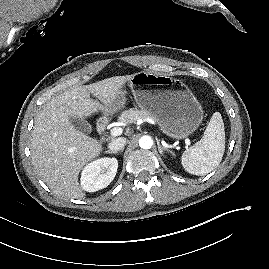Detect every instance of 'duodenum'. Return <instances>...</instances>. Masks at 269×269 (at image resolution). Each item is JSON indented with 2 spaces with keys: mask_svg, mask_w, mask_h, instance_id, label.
Listing matches in <instances>:
<instances>
[{
  "mask_svg": "<svg viewBox=\"0 0 269 269\" xmlns=\"http://www.w3.org/2000/svg\"><path fill=\"white\" fill-rule=\"evenodd\" d=\"M106 129V124L104 121L100 120L97 124V130L100 134H104Z\"/></svg>",
  "mask_w": 269,
  "mask_h": 269,
  "instance_id": "obj_1",
  "label": "duodenum"
}]
</instances>
